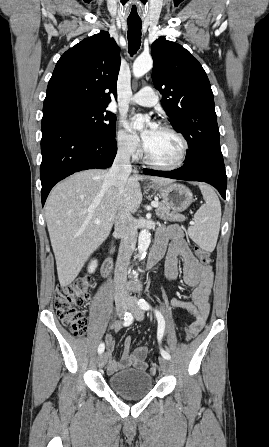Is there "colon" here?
<instances>
[{
	"label": "colon",
	"instance_id": "5ec220e1",
	"mask_svg": "<svg viewBox=\"0 0 269 447\" xmlns=\"http://www.w3.org/2000/svg\"><path fill=\"white\" fill-rule=\"evenodd\" d=\"M196 258L203 264L212 262L211 254L200 248H194ZM94 288L93 280L89 276H81L67 287H58L55 290L54 308L62 324L69 328L73 335L84 336L88 330V321L84 308L91 297ZM184 327H187L186 325ZM186 342H191V336L184 335ZM142 354L138 352V356ZM147 371L150 375L157 372L156 364H149Z\"/></svg>",
	"mask_w": 269,
	"mask_h": 447
}]
</instances>
